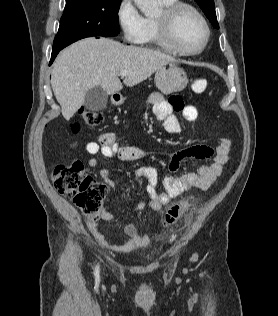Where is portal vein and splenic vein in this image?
I'll list each match as a JSON object with an SVG mask.
<instances>
[{
    "label": "portal vein and splenic vein",
    "instance_id": "18ae733b",
    "mask_svg": "<svg viewBox=\"0 0 278 316\" xmlns=\"http://www.w3.org/2000/svg\"><path fill=\"white\" fill-rule=\"evenodd\" d=\"M127 75H128V71H126V70H123L120 72L121 77H126Z\"/></svg>",
    "mask_w": 278,
    "mask_h": 316
}]
</instances>
